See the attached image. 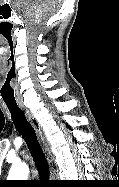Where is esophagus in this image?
I'll use <instances>...</instances> for the list:
<instances>
[{"label": "esophagus", "mask_w": 119, "mask_h": 187, "mask_svg": "<svg viewBox=\"0 0 119 187\" xmlns=\"http://www.w3.org/2000/svg\"><path fill=\"white\" fill-rule=\"evenodd\" d=\"M21 108L25 111L26 116L28 117L32 126L36 130V132H37V134H38V136H39V138L42 142L43 148L46 152L48 162L51 165V168L53 169V156H52V153H51V150H50V146H49V144H48V142H47V140L44 136V133L42 131V128H41L40 124L38 123V121L34 117V115L27 108H25L24 106H21ZM52 176H54V172L52 173Z\"/></svg>", "instance_id": "esophagus-1"}]
</instances>
